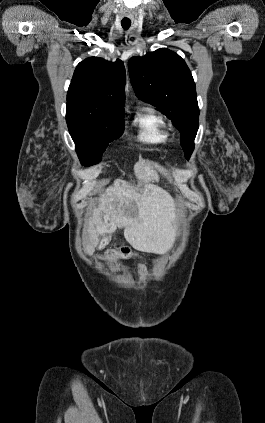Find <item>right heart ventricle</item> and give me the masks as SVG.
<instances>
[{"label":"right heart ventricle","instance_id":"obj_1","mask_svg":"<svg viewBox=\"0 0 265 423\" xmlns=\"http://www.w3.org/2000/svg\"><path fill=\"white\" fill-rule=\"evenodd\" d=\"M140 141L150 144L165 143L169 132L165 120L152 108L141 107L133 121Z\"/></svg>","mask_w":265,"mask_h":423}]
</instances>
